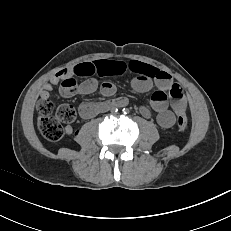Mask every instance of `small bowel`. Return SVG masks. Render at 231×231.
Listing matches in <instances>:
<instances>
[{"instance_id": "small-bowel-1", "label": "small bowel", "mask_w": 231, "mask_h": 231, "mask_svg": "<svg viewBox=\"0 0 231 231\" xmlns=\"http://www.w3.org/2000/svg\"><path fill=\"white\" fill-rule=\"evenodd\" d=\"M127 71L134 74L131 84L135 91L145 93L155 87L150 103L152 110L156 113V121L162 128H171L176 121V115L185 111L186 108V98L182 88L167 72L137 60H131L128 63L114 60H95L63 69L43 85L40 100L49 99L59 81L67 76L84 77L85 80L80 84L78 93L88 95L98 89L96 76H117ZM100 91L105 96H111L116 89L111 82L105 81L101 84ZM114 102L120 106L126 103V99L118 98ZM106 108L107 106L103 102H84L79 106L78 111L81 118L90 119ZM142 113L146 117L151 116V112L147 108H142ZM65 130L67 133L72 132L70 126H67Z\"/></svg>"}]
</instances>
